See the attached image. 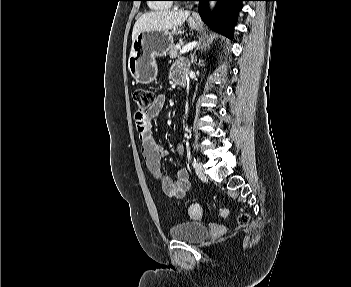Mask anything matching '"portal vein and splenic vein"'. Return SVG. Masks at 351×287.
<instances>
[{"label": "portal vein and splenic vein", "mask_w": 351, "mask_h": 287, "mask_svg": "<svg viewBox=\"0 0 351 287\" xmlns=\"http://www.w3.org/2000/svg\"><path fill=\"white\" fill-rule=\"evenodd\" d=\"M196 45H197V42H192V43H189L188 45H185V46L180 50V54L186 53L187 51L193 49Z\"/></svg>", "instance_id": "18ae733b"}]
</instances>
